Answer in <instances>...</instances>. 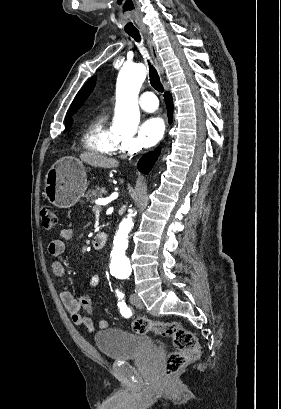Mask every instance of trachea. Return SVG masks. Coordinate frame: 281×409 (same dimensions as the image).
<instances>
[{
  "mask_svg": "<svg viewBox=\"0 0 281 409\" xmlns=\"http://www.w3.org/2000/svg\"><path fill=\"white\" fill-rule=\"evenodd\" d=\"M130 37H132L136 42L140 43L141 36L140 33L137 32H127ZM149 66V77H150V84L151 86L157 90V92H164L163 85L161 83L159 74L156 68L151 64L149 60H147Z\"/></svg>",
  "mask_w": 281,
  "mask_h": 409,
  "instance_id": "3493384b",
  "label": "trachea"
}]
</instances>
